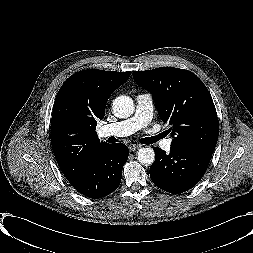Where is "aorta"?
Returning a JSON list of instances; mask_svg holds the SVG:
<instances>
[{
  "mask_svg": "<svg viewBox=\"0 0 253 253\" xmlns=\"http://www.w3.org/2000/svg\"><path fill=\"white\" fill-rule=\"evenodd\" d=\"M113 113L118 118H128L134 112V102L129 96H119L113 101ZM138 161L143 165H151L155 161V152L150 147L137 151Z\"/></svg>",
  "mask_w": 253,
  "mask_h": 253,
  "instance_id": "1",
  "label": "aorta"
}]
</instances>
